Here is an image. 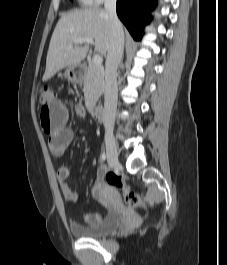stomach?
<instances>
[{"mask_svg": "<svg viewBox=\"0 0 227 265\" xmlns=\"http://www.w3.org/2000/svg\"><path fill=\"white\" fill-rule=\"evenodd\" d=\"M64 77L71 83H81L84 80L83 69L80 65L70 66L66 69Z\"/></svg>", "mask_w": 227, "mask_h": 265, "instance_id": "stomach-1", "label": "stomach"}]
</instances>
